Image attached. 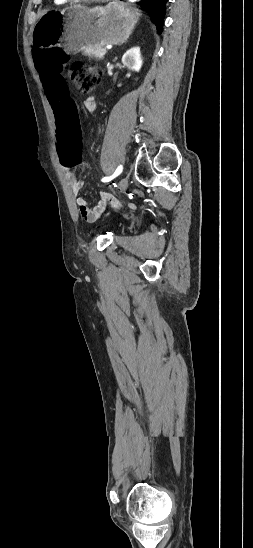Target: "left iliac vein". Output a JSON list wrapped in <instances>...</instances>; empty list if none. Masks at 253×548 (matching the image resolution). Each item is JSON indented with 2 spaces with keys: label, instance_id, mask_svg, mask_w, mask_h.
<instances>
[{
  "label": "left iliac vein",
  "instance_id": "left-iliac-vein-1",
  "mask_svg": "<svg viewBox=\"0 0 253 548\" xmlns=\"http://www.w3.org/2000/svg\"><path fill=\"white\" fill-rule=\"evenodd\" d=\"M128 187V179L127 178H122L119 182H118V190L120 193H123Z\"/></svg>",
  "mask_w": 253,
  "mask_h": 548
}]
</instances>
